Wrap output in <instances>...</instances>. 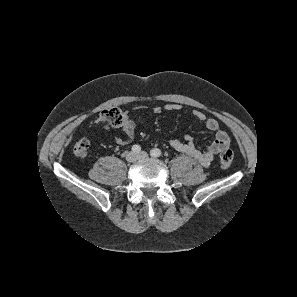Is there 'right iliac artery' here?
<instances>
[{
	"label": "right iliac artery",
	"mask_w": 297,
	"mask_h": 297,
	"mask_svg": "<svg viewBox=\"0 0 297 297\" xmlns=\"http://www.w3.org/2000/svg\"><path fill=\"white\" fill-rule=\"evenodd\" d=\"M132 151L134 153H139L141 151V147L139 145H133L132 146Z\"/></svg>",
	"instance_id": "1"
}]
</instances>
